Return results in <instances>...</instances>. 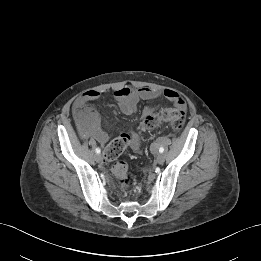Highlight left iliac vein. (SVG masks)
<instances>
[{"label": "left iliac vein", "instance_id": "obj_1", "mask_svg": "<svg viewBox=\"0 0 261 261\" xmlns=\"http://www.w3.org/2000/svg\"><path fill=\"white\" fill-rule=\"evenodd\" d=\"M164 155L162 153H158L155 157V162L159 165L164 163Z\"/></svg>", "mask_w": 261, "mask_h": 261}]
</instances>
